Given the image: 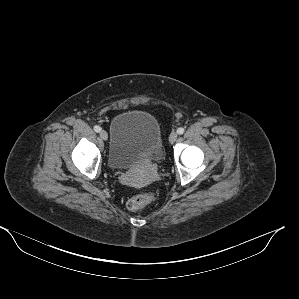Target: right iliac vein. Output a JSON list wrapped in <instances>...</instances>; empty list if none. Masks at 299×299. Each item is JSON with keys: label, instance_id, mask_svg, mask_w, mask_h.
<instances>
[{"label": "right iliac vein", "instance_id": "63e3f726", "mask_svg": "<svg viewBox=\"0 0 299 299\" xmlns=\"http://www.w3.org/2000/svg\"><path fill=\"white\" fill-rule=\"evenodd\" d=\"M99 134L102 140L106 141L108 139V134L105 130H101Z\"/></svg>", "mask_w": 299, "mask_h": 299}]
</instances>
